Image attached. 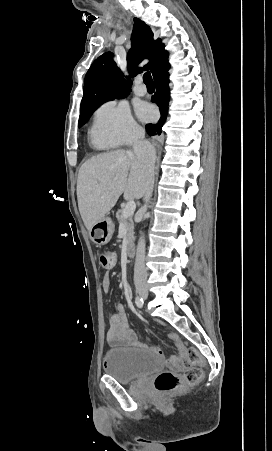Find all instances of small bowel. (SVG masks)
<instances>
[{
  "label": "small bowel",
  "mask_w": 272,
  "mask_h": 451,
  "mask_svg": "<svg viewBox=\"0 0 272 451\" xmlns=\"http://www.w3.org/2000/svg\"><path fill=\"white\" fill-rule=\"evenodd\" d=\"M102 286L105 292L110 290L111 278L109 274L103 276ZM168 337L175 348H185V344L178 333L171 332L168 334ZM106 341L111 346L130 345L136 348L146 347L139 342L136 333L130 328L128 314L123 303L116 304L115 313L109 319V329L106 333ZM149 349L158 355L163 354L162 350L156 346H151Z\"/></svg>",
  "instance_id": "c3829d8e"
}]
</instances>
